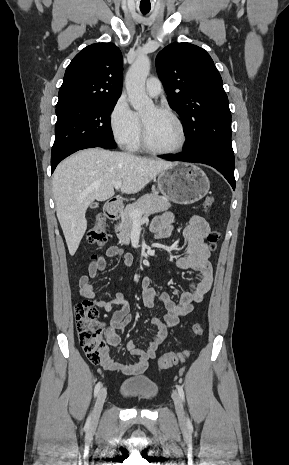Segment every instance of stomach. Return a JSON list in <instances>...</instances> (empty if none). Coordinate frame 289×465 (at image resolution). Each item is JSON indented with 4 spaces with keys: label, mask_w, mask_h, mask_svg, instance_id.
<instances>
[{
    "label": "stomach",
    "mask_w": 289,
    "mask_h": 465,
    "mask_svg": "<svg viewBox=\"0 0 289 465\" xmlns=\"http://www.w3.org/2000/svg\"><path fill=\"white\" fill-rule=\"evenodd\" d=\"M158 188L169 201L177 204H192L202 199L209 191L206 174L189 163H173L158 176Z\"/></svg>",
    "instance_id": "0dacf381"
}]
</instances>
